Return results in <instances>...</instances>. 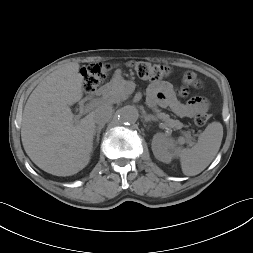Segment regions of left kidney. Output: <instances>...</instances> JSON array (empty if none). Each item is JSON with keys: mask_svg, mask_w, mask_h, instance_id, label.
<instances>
[{"mask_svg": "<svg viewBox=\"0 0 253 253\" xmlns=\"http://www.w3.org/2000/svg\"><path fill=\"white\" fill-rule=\"evenodd\" d=\"M175 141L162 133L153 136L152 151L156 159L170 163L174 157Z\"/></svg>", "mask_w": 253, "mask_h": 253, "instance_id": "5707ae66", "label": "left kidney"}]
</instances>
